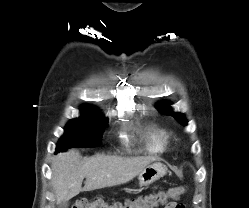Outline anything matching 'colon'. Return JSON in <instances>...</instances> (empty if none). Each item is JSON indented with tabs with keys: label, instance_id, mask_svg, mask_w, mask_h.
Returning a JSON list of instances; mask_svg holds the SVG:
<instances>
[{
	"label": "colon",
	"instance_id": "obj_1",
	"mask_svg": "<svg viewBox=\"0 0 249 208\" xmlns=\"http://www.w3.org/2000/svg\"><path fill=\"white\" fill-rule=\"evenodd\" d=\"M185 191L186 189L184 186H177L169 188L166 191H159L135 199L116 202H107L103 199H81L78 200L72 208H156L160 205L168 204L170 200L175 202V200H178ZM179 208H184V206L180 205Z\"/></svg>",
	"mask_w": 249,
	"mask_h": 208
}]
</instances>
